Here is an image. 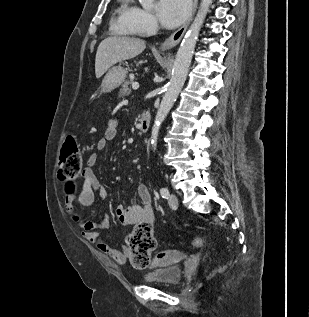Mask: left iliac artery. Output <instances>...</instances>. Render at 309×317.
I'll use <instances>...</instances> for the list:
<instances>
[{"mask_svg":"<svg viewBox=\"0 0 309 317\" xmlns=\"http://www.w3.org/2000/svg\"><path fill=\"white\" fill-rule=\"evenodd\" d=\"M160 194L164 199H167L169 196V191L167 188L163 187L160 189Z\"/></svg>","mask_w":309,"mask_h":317,"instance_id":"left-iliac-artery-1","label":"left iliac artery"}]
</instances>
